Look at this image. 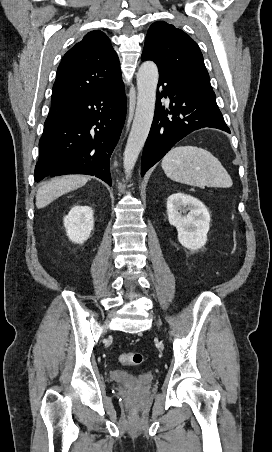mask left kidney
Returning a JSON list of instances; mask_svg holds the SVG:
<instances>
[{
    "mask_svg": "<svg viewBox=\"0 0 272 452\" xmlns=\"http://www.w3.org/2000/svg\"><path fill=\"white\" fill-rule=\"evenodd\" d=\"M167 214L169 223L178 231L181 245L198 250L206 244L211 219L200 200L181 192L174 193L167 199Z\"/></svg>",
    "mask_w": 272,
    "mask_h": 452,
    "instance_id": "left-kidney-1",
    "label": "left kidney"
}]
</instances>
